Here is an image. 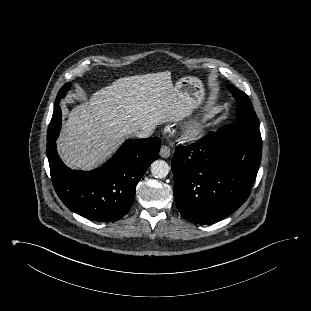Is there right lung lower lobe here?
<instances>
[{
    "label": "right lung lower lobe",
    "mask_w": 311,
    "mask_h": 311,
    "mask_svg": "<svg viewBox=\"0 0 311 311\" xmlns=\"http://www.w3.org/2000/svg\"><path fill=\"white\" fill-rule=\"evenodd\" d=\"M61 109L55 105L47 131V155L54 189L73 212L98 222L121 219L133 203L136 185L158 157V137L127 140L102 167L76 171L63 164L56 150Z\"/></svg>",
    "instance_id": "1"
}]
</instances>
